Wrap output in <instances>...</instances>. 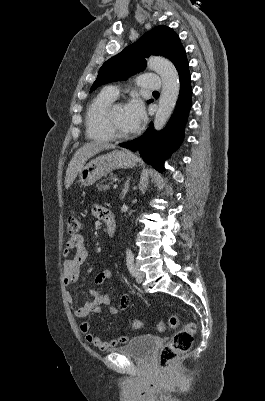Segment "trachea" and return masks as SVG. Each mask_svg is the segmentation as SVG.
<instances>
[{
	"label": "trachea",
	"mask_w": 265,
	"mask_h": 401,
	"mask_svg": "<svg viewBox=\"0 0 265 401\" xmlns=\"http://www.w3.org/2000/svg\"><path fill=\"white\" fill-rule=\"evenodd\" d=\"M153 93H159V92L155 91V92H153Z\"/></svg>",
	"instance_id": "1"
}]
</instances>
